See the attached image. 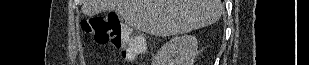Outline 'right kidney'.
Here are the masks:
<instances>
[{
    "label": "right kidney",
    "instance_id": "right-kidney-1",
    "mask_svg": "<svg viewBox=\"0 0 309 65\" xmlns=\"http://www.w3.org/2000/svg\"><path fill=\"white\" fill-rule=\"evenodd\" d=\"M198 41L193 35L171 38L157 52L155 65H193Z\"/></svg>",
    "mask_w": 309,
    "mask_h": 65
}]
</instances>
